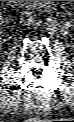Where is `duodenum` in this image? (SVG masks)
Returning <instances> with one entry per match:
<instances>
[{
    "label": "duodenum",
    "instance_id": "1",
    "mask_svg": "<svg viewBox=\"0 0 74 122\" xmlns=\"http://www.w3.org/2000/svg\"><path fill=\"white\" fill-rule=\"evenodd\" d=\"M16 3L20 4L21 7L29 9L32 8V1H15ZM51 1H38V6L41 10H48L50 7Z\"/></svg>",
    "mask_w": 74,
    "mask_h": 122
}]
</instances>
